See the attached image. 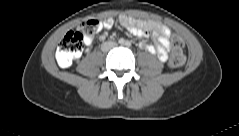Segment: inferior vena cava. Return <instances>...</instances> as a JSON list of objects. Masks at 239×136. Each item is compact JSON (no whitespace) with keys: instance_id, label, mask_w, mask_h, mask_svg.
Wrapping results in <instances>:
<instances>
[{"instance_id":"inferior-vena-cava-1","label":"inferior vena cava","mask_w":239,"mask_h":136,"mask_svg":"<svg viewBox=\"0 0 239 136\" xmlns=\"http://www.w3.org/2000/svg\"><path fill=\"white\" fill-rule=\"evenodd\" d=\"M115 45H116V43H114V42H110L109 49H111V48L115 47Z\"/></svg>"}]
</instances>
